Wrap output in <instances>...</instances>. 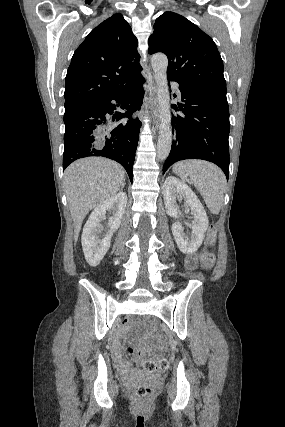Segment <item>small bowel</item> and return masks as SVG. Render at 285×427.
Listing matches in <instances>:
<instances>
[{
  "label": "small bowel",
  "instance_id": "1",
  "mask_svg": "<svg viewBox=\"0 0 285 427\" xmlns=\"http://www.w3.org/2000/svg\"><path fill=\"white\" fill-rule=\"evenodd\" d=\"M196 261L195 257H190L187 259L186 264L187 265H191ZM125 322H122V325H124ZM132 353L134 354H140V351H138L137 349H132ZM112 356L114 359V362L118 365V367L124 371V372H129L130 371V365L128 362L123 361V357H122V350L119 344H115L112 348Z\"/></svg>",
  "mask_w": 285,
  "mask_h": 427
}]
</instances>
